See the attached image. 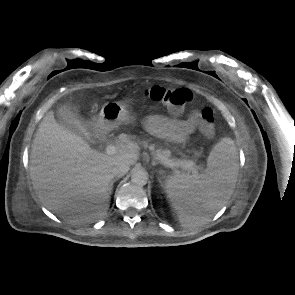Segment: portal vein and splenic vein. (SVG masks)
Returning <instances> with one entry per match:
<instances>
[{"label": "portal vein and splenic vein", "mask_w": 295, "mask_h": 295, "mask_svg": "<svg viewBox=\"0 0 295 295\" xmlns=\"http://www.w3.org/2000/svg\"><path fill=\"white\" fill-rule=\"evenodd\" d=\"M116 152H117V148L114 145H109L106 148V153L108 155H114V154H116ZM161 162L165 166H167L169 168H173V167H176V166L177 167L181 166V167H184L186 169H190L193 172L194 175H197L196 166H195L194 162L191 161V160H176L175 161V160H171V159H168V158H162Z\"/></svg>", "instance_id": "18ae733b"}]
</instances>
